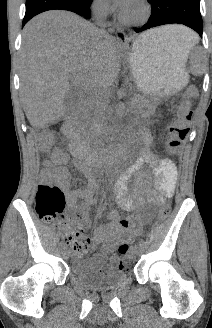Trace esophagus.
<instances>
[{
    "instance_id": "34e87169",
    "label": "esophagus",
    "mask_w": 212,
    "mask_h": 328,
    "mask_svg": "<svg viewBox=\"0 0 212 328\" xmlns=\"http://www.w3.org/2000/svg\"><path fill=\"white\" fill-rule=\"evenodd\" d=\"M116 38L118 39L119 42L126 41V35H125L124 31L119 27H117V30H116Z\"/></svg>"
}]
</instances>
